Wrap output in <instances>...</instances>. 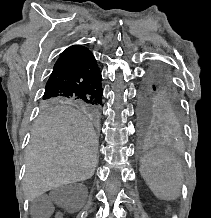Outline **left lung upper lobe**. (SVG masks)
<instances>
[{
  "instance_id": "1",
  "label": "left lung upper lobe",
  "mask_w": 211,
  "mask_h": 218,
  "mask_svg": "<svg viewBox=\"0 0 211 218\" xmlns=\"http://www.w3.org/2000/svg\"><path fill=\"white\" fill-rule=\"evenodd\" d=\"M139 114L143 130L177 125L181 120L178 92L167 72L158 64L152 66L145 77Z\"/></svg>"
}]
</instances>
